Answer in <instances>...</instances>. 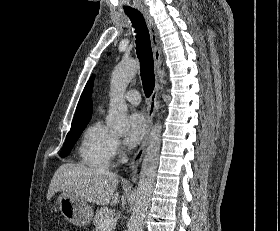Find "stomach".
I'll return each instance as SVG.
<instances>
[{"mask_svg":"<svg viewBox=\"0 0 280 231\" xmlns=\"http://www.w3.org/2000/svg\"><path fill=\"white\" fill-rule=\"evenodd\" d=\"M58 205L62 215L74 225H88V223H91L93 209L78 195L65 193L64 191L58 197Z\"/></svg>","mask_w":280,"mask_h":231,"instance_id":"stomach-1","label":"stomach"}]
</instances>
